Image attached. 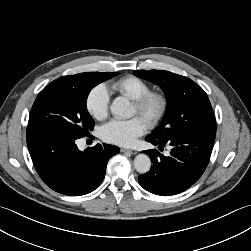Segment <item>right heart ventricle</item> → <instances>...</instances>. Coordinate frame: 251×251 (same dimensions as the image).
I'll return each instance as SVG.
<instances>
[{
  "mask_svg": "<svg viewBox=\"0 0 251 251\" xmlns=\"http://www.w3.org/2000/svg\"><path fill=\"white\" fill-rule=\"evenodd\" d=\"M112 89L131 100H136L150 91V85L137 76L129 75L114 81Z\"/></svg>",
  "mask_w": 251,
  "mask_h": 251,
  "instance_id": "e07e8e85",
  "label": "right heart ventricle"
}]
</instances>
